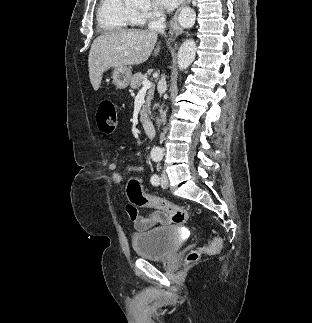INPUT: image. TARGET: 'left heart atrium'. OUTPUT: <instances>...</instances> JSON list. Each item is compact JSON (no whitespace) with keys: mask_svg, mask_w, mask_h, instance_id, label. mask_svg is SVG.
<instances>
[{"mask_svg":"<svg viewBox=\"0 0 312 323\" xmlns=\"http://www.w3.org/2000/svg\"><path fill=\"white\" fill-rule=\"evenodd\" d=\"M156 8H161L162 12H176V8H180L184 0H155Z\"/></svg>","mask_w":312,"mask_h":323,"instance_id":"obj_1","label":"left heart atrium"}]
</instances>
